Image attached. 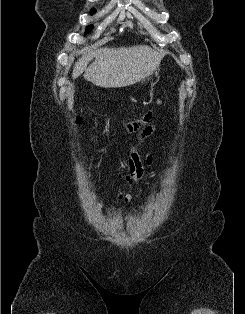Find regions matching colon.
Segmentation results:
<instances>
[{"label":"colon","mask_w":245,"mask_h":314,"mask_svg":"<svg viewBox=\"0 0 245 314\" xmlns=\"http://www.w3.org/2000/svg\"><path fill=\"white\" fill-rule=\"evenodd\" d=\"M120 197H121L122 199H124L125 201L130 200V196H128V195H120Z\"/></svg>","instance_id":"obj_1"}]
</instances>
